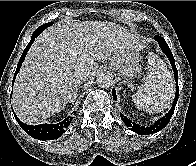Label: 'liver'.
I'll return each mask as SVG.
<instances>
[{
	"label": "liver",
	"mask_w": 196,
	"mask_h": 166,
	"mask_svg": "<svg viewBox=\"0 0 196 166\" xmlns=\"http://www.w3.org/2000/svg\"><path fill=\"white\" fill-rule=\"evenodd\" d=\"M142 47L134 34L113 22L56 23L35 39L16 76L12 96L16 115L26 124L43 122L73 98L77 71L87 72L91 79L99 61Z\"/></svg>",
	"instance_id": "6515ba94"
}]
</instances>
